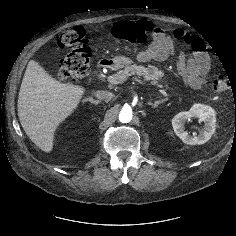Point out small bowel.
Returning a JSON list of instances; mask_svg holds the SVG:
<instances>
[{"label": "small bowel", "mask_w": 236, "mask_h": 236, "mask_svg": "<svg viewBox=\"0 0 236 236\" xmlns=\"http://www.w3.org/2000/svg\"><path fill=\"white\" fill-rule=\"evenodd\" d=\"M177 43H182L183 48L176 50ZM171 56L176 58L177 69L184 86L199 89L206 84L210 64L202 40L182 29H173L167 33L156 26L151 43L139 52L138 60L143 63L163 62Z\"/></svg>", "instance_id": "obj_1"}]
</instances>
